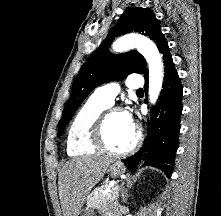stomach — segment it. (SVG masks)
I'll list each match as a JSON object with an SVG mask.
<instances>
[{
  "label": "stomach",
  "instance_id": "stomach-1",
  "mask_svg": "<svg viewBox=\"0 0 221 216\" xmlns=\"http://www.w3.org/2000/svg\"><path fill=\"white\" fill-rule=\"evenodd\" d=\"M107 171L110 173L111 176L117 177L124 173V168L121 163L116 162L110 165ZM78 216H94V212L93 210L88 209V210L80 212Z\"/></svg>",
  "mask_w": 221,
  "mask_h": 216
}]
</instances>
